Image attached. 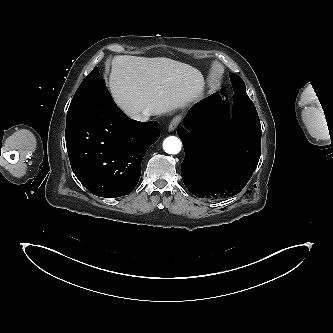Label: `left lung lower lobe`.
<instances>
[{"instance_id":"left-lung-lower-lobe-1","label":"left lung lower lobe","mask_w":333,"mask_h":333,"mask_svg":"<svg viewBox=\"0 0 333 333\" xmlns=\"http://www.w3.org/2000/svg\"><path fill=\"white\" fill-rule=\"evenodd\" d=\"M234 116L218 93L188 111L177 134L185 159L181 174L186 188L206 199L232 197L246 186L261 154V126L256 109L234 100ZM240 111V121H232Z\"/></svg>"}]
</instances>
